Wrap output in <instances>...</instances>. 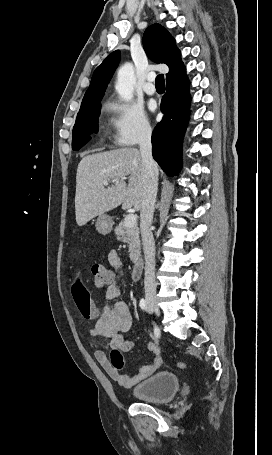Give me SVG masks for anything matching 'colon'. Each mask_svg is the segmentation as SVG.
I'll use <instances>...</instances> for the list:
<instances>
[{
    "mask_svg": "<svg viewBox=\"0 0 272 455\" xmlns=\"http://www.w3.org/2000/svg\"><path fill=\"white\" fill-rule=\"evenodd\" d=\"M92 282L96 288H103L112 280L113 272L103 263H95L91 267ZM111 363L116 368L123 366L122 351L119 348H114L111 354ZM180 367H185L184 363L179 364Z\"/></svg>",
    "mask_w": 272,
    "mask_h": 455,
    "instance_id": "5ec220e1",
    "label": "colon"
}]
</instances>
